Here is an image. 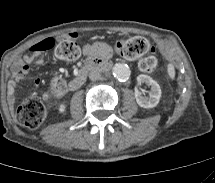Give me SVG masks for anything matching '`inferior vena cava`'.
<instances>
[{
	"label": "inferior vena cava",
	"mask_w": 215,
	"mask_h": 183,
	"mask_svg": "<svg viewBox=\"0 0 215 183\" xmlns=\"http://www.w3.org/2000/svg\"><path fill=\"white\" fill-rule=\"evenodd\" d=\"M88 76L90 80L94 81L100 78V73L97 70H92L89 72Z\"/></svg>",
	"instance_id": "1"
}]
</instances>
